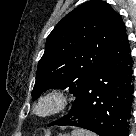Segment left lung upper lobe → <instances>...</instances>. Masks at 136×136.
Returning a JSON list of instances; mask_svg holds the SVG:
<instances>
[{
  "label": "left lung upper lobe",
  "instance_id": "obj_1",
  "mask_svg": "<svg viewBox=\"0 0 136 136\" xmlns=\"http://www.w3.org/2000/svg\"><path fill=\"white\" fill-rule=\"evenodd\" d=\"M122 25L121 16L100 0L88 1L67 14L47 38L33 98L49 88H69L77 96L102 63Z\"/></svg>",
  "mask_w": 136,
  "mask_h": 136
}]
</instances>
